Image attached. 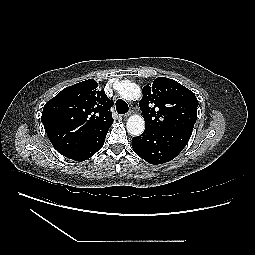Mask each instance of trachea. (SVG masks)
<instances>
[{
    "mask_svg": "<svg viewBox=\"0 0 255 255\" xmlns=\"http://www.w3.org/2000/svg\"><path fill=\"white\" fill-rule=\"evenodd\" d=\"M116 110L119 114H125L129 110L128 104L122 99H118L116 101Z\"/></svg>",
    "mask_w": 255,
    "mask_h": 255,
    "instance_id": "trachea-1",
    "label": "trachea"
}]
</instances>
